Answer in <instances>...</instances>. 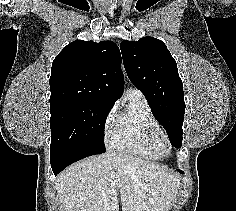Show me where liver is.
<instances>
[{"label":"liver","mask_w":236,"mask_h":211,"mask_svg":"<svg viewBox=\"0 0 236 211\" xmlns=\"http://www.w3.org/2000/svg\"><path fill=\"white\" fill-rule=\"evenodd\" d=\"M179 185L165 166L105 153L66 168L55 188L63 211H119V192L122 211H167Z\"/></svg>","instance_id":"obj_1"}]
</instances>
